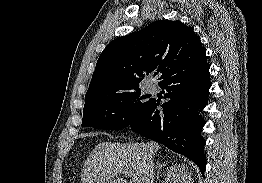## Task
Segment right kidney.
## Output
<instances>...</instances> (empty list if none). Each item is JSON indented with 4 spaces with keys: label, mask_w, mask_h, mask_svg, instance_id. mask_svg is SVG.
I'll use <instances>...</instances> for the list:
<instances>
[{
    "label": "right kidney",
    "mask_w": 262,
    "mask_h": 183,
    "mask_svg": "<svg viewBox=\"0 0 262 183\" xmlns=\"http://www.w3.org/2000/svg\"><path fill=\"white\" fill-rule=\"evenodd\" d=\"M164 183H191V171L184 164L173 165L167 171Z\"/></svg>",
    "instance_id": "ca27d5eb"
}]
</instances>
